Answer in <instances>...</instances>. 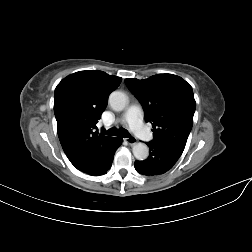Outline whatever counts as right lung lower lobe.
Here are the masks:
<instances>
[{"label":"right lung lower lobe","instance_id":"1","mask_svg":"<svg viewBox=\"0 0 252 252\" xmlns=\"http://www.w3.org/2000/svg\"><path fill=\"white\" fill-rule=\"evenodd\" d=\"M122 138L115 137L107 144L103 157L91 167H86L84 169H79L80 171L90 174V175H103L111 167L113 162V157L117 148L122 144Z\"/></svg>","mask_w":252,"mask_h":252}]
</instances>
